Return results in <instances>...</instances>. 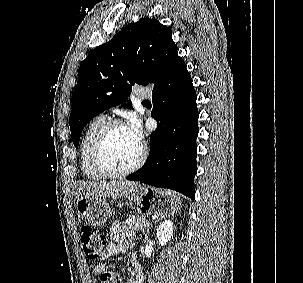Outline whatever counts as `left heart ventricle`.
Instances as JSON below:
<instances>
[{
  "label": "left heart ventricle",
  "instance_id": "obj_1",
  "mask_svg": "<svg viewBox=\"0 0 303 283\" xmlns=\"http://www.w3.org/2000/svg\"><path fill=\"white\" fill-rule=\"evenodd\" d=\"M140 149L127 127H115L105 143V160L115 170L125 169L135 162Z\"/></svg>",
  "mask_w": 303,
  "mask_h": 283
}]
</instances>
